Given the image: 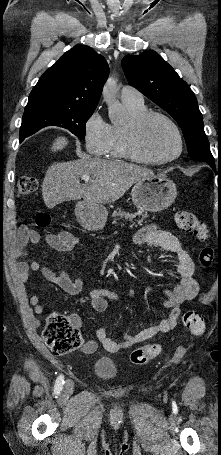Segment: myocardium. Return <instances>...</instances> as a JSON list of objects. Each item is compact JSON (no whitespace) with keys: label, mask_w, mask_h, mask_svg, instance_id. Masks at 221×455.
<instances>
[{"label":"myocardium","mask_w":221,"mask_h":455,"mask_svg":"<svg viewBox=\"0 0 221 455\" xmlns=\"http://www.w3.org/2000/svg\"><path fill=\"white\" fill-rule=\"evenodd\" d=\"M156 118L162 119L167 124H169L177 137L178 152L171 157L156 158L144 147L143 135H144L145 128L153 119H156ZM126 138H127V146L129 148L130 152L133 155L145 160L148 163H152V164H165V163L175 161L182 155L183 150H184V141H183V137H182V134H181V131H180L178 125L169 116H167L164 113L158 112V111H146L139 117L135 118L132 122H130V124L128 125L127 130H126Z\"/></svg>","instance_id":"myocardium-1"}]
</instances>
